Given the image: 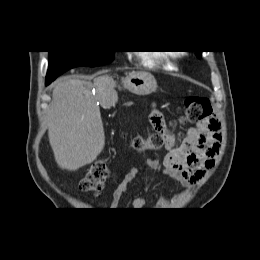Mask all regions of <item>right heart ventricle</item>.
Returning <instances> with one entry per match:
<instances>
[{
  "mask_svg": "<svg viewBox=\"0 0 260 260\" xmlns=\"http://www.w3.org/2000/svg\"><path fill=\"white\" fill-rule=\"evenodd\" d=\"M144 60L149 62V61H151V57L146 55V56H144ZM166 67L168 69H174V65L170 62L167 63Z\"/></svg>",
  "mask_w": 260,
  "mask_h": 260,
  "instance_id": "e07e8e85",
  "label": "right heart ventricle"
}]
</instances>
